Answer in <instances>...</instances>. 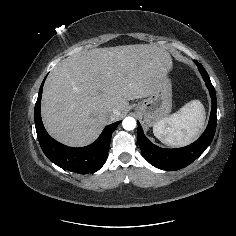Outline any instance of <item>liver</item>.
Listing matches in <instances>:
<instances>
[{
	"mask_svg": "<svg viewBox=\"0 0 236 236\" xmlns=\"http://www.w3.org/2000/svg\"><path fill=\"white\" fill-rule=\"evenodd\" d=\"M170 70L169 52L151 44L94 48L68 57L46 79L44 126L63 144L86 146L128 109V101L150 96Z\"/></svg>",
	"mask_w": 236,
	"mask_h": 236,
	"instance_id": "obj_1",
	"label": "liver"
}]
</instances>
